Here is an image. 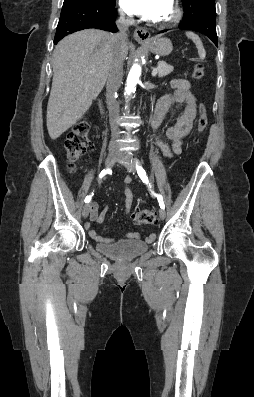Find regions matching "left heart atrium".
<instances>
[{"label": "left heart atrium", "instance_id": "left-heart-atrium-1", "mask_svg": "<svg viewBox=\"0 0 254 397\" xmlns=\"http://www.w3.org/2000/svg\"><path fill=\"white\" fill-rule=\"evenodd\" d=\"M171 0H121L124 10L149 20H157L169 7Z\"/></svg>", "mask_w": 254, "mask_h": 397}]
</instances>
